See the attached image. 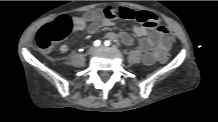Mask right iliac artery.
Listing matches in <instances>:
<instances>
[{
	"mask_svg": "<svg viewBox=\"0 0 218 122\" xmlns=\"http://www.w3.org/2000/svg\"><path fill=\"white\" fill-rule=\"evenodd\" d=\"M100 44H101V41H100V40H96V41L94 42V46H96V47L100 46Z\"/></svg>",
	"mask_w": 218,
	"mask_h": 122,
	"instance_id": "1",
	"label": "right iliac artery"
}]
</instances>
